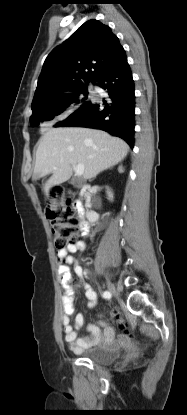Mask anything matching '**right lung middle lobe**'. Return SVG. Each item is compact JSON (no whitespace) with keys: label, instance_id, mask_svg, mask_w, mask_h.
Listing matches in <instances>:
<instances>
[{"label":"right lung middle lobe","instance_id":"1","mask_svg":"<svg viewBox=\"0 0 187 415\" xmlns=\"http://www.w3.org/2000/svg\"><path fill=\"white\" fill-rule=\"evenodd\" d=\"M83 93L84 98H79ZM87 87H78L72 92L66 94L60 101L40 107L33 108V114L30 117L31 126H37L40 122L52 120L56 115L62 113L64 110L72 105L81 104L87 99Z\"/></svg>","mask_w":187,"mask_h":415}]
</instances>
